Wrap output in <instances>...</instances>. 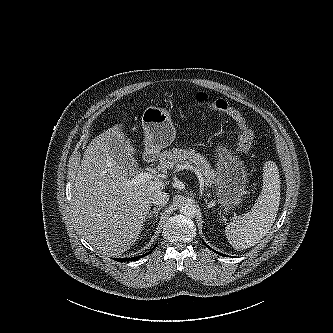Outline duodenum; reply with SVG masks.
<instances>
[{
  "instance_id": "410a0bca",
  "label": "duodenum",
  "mask_w": 333,
  "mask_h": 333,
  "mask_svg": "<svg viewBox=\"0 0 333 333\" xmlns=\"http://www.w3.org/2000/svg\"><path fill=\"white\" fill-rule=\"evenodd\" d=\"M154 159H155V154L153 152H147L145 154V161L146 162L150 163V162L154 161Z\"/></svg>"
}]
</instances>
